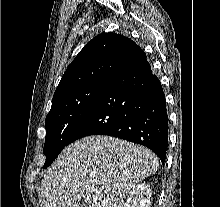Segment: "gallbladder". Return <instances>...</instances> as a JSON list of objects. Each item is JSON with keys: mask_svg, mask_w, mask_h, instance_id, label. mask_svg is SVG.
Returning <instances> with one entry per match:
<instances>
[{"mask_svg": "<svg viewBox=\"0 0 220 207\" xmlns=\"http://www.w3.org/2000/svg\"><path fill=\"white\" fill-rule=\"evenodd\" d=\"M81 207H87V205L83 204Z\"/></svg>", "mask_w": 220, "mask_h": 207, "instance_id": "gallbladder-1", "label": "gallbladder"}]
</instances>
